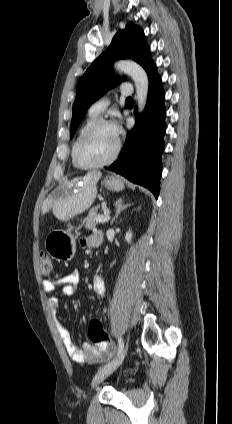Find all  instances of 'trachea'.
<instances>
[{
    "mask_svg": "<svg viewBox=\"0 0 232 424\" xmlns=\"http://www.w3.org/2000/svg\"><path fill=\"white\" fill-rule=\"evenodd\" d=\"M126 103H133V98H131V97H128L127 99H126V101H125Z\"/></svg>",
    "mask_w": 232,
    "mask_h": 424,
    "instance_id": "obj_1",
    "label": "trachea"
}]
</instances>
